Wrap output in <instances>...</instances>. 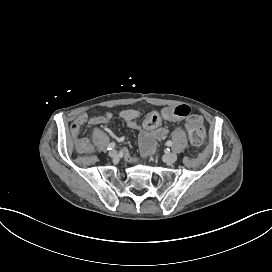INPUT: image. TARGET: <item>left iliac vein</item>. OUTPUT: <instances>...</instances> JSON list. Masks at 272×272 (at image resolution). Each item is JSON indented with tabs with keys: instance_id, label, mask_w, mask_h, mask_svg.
<instances>
[{
	"instance_id": "obj_1",
	"label": "left iliac vein",
	"mask_w": 272,
	"mask_h": 272,
	"mask_svg": "<svg viewBox=\"0 0 272 272\" xmlns=\"http://www.w3.org/2000/svg\"><path fill=\"white\" fill-rule=\"evenodd\" d=\"M178 156L176 153H166L164 156V161L167 164H172L177 160Z\"/></svg>"
}]
</instances>
